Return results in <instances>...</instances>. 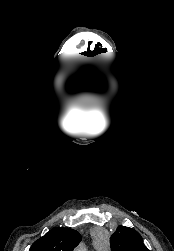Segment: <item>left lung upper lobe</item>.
I'll return each mask as SVG.
<instances>
[{
	"label": "left lung upper lobe",
	"instance_id": "obj_1",
	"mask_svg": "<svg viewBox=\"0 0 174 251\" xmlns=\"http://www.w3.org/2000/svg\"><path fill=\"white\" fill-rule=\"evenodd\" d=\"M111 251H149L134 229L119 226L110 237Z\"/></svg>",
	"mask_w": 174,
	"mask_h": 251
}]
</instances>
